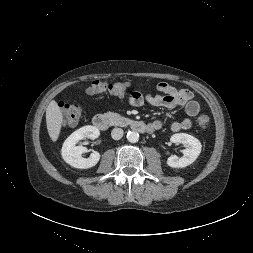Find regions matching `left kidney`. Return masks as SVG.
<instances>
[{
  "mask_svg": "<svg viewBox=\"0 0 253 253\" xmlns=\"http://www.w3.org/2000/svg\"><path fill=\"white\" fill-rule=\"evenodd\" d=\"M170 141L172 143L183 144L185 147L182 157H177L176 155L168 157L167 164L172 168H183L192 164L201 153L202 145L200 141L192 135L176 133L171 136Z\"/></svg>",
  "mask_w": 253,
  "mask_h": 253,
  "instance_id": "obj_1",
  "label": "left kidney"
}]
</instances>
